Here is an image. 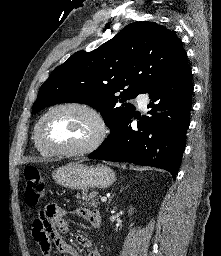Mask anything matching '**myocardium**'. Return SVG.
Returning <instances> with one entry per match:
<instances>
[{
  "label": "myocardium",
  "instance_id": "obj_1",
  "mask_svg": "<svg viewBox=\"0 0 221 256\" xmlns=\"http://www.w3.org/2000/svg\"><path fill=\"white\" fill-rule=\"evenodd\" d=\"M66 108L80 109L88 113L95 121L96 127H97L96 134L87 144L77 148L67 149V148L52 147L44 142L42 138L41 130L45 120L54 112L60 109H66ZM108 132H109V128H108L107 122L104 116L102 115V113L97 108L84 102L71 101V102H64V103L57 104L52 108H50L46 113H44L40 117V119L38 120L35 126L34 137L38 146L50 154L61 155V156H77V155H84V154L91 153L95 151L97 148H99L105 141L108 135Z\"/></svg>",
  "mask_w": 221,
  "mask_h": 256
}]
</instances>
